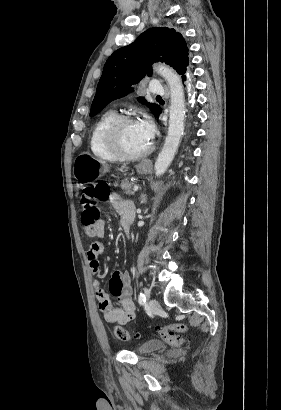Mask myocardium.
Returning <instances> with one entry per match:
<instances>
[{
    "instance_id": "myocardium-1",
    "label": "myocardium",
    "mask_w": 281,
    "mask_h": 410,
    "mask_svg": "<svg viewBox=\"0 0 281 410\" xmlns=\"http://www.w3.org/2000/svg\"><path fill=\"white\" fill-rule=\"evenodd\" d=\"M133 121L129 115H117L113 121L109 124L105 132V142L107 147L113 152L119 159L134 160L147 156L153 149V146H149L139 152H129L120 143L118 138V131L120 126L124 122Z\"/></svg>"
}]
</instances>
